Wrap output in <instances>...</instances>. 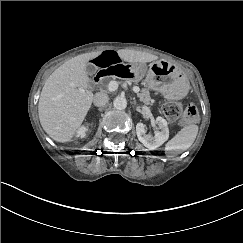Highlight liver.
<instances>
[{"label": "liver", "mask_w": 243, "mask_h": 243, "mask_svg": "<svg viewBox=\"0 0 243 243\" xmlns=\"http://www.w3.org/2000/svg\"><path fill=\"white\" fill-rule=\"evenodd\" d=\"M103 51L75 56L59 66L46 80L38 103V114L43 130L59 143H70L79 134L91 108L94 94L84 90L87 85V64ZM121 61L137 64L158 60V56L132 49H119Z\"/></svg>", "instance_id": "6515ba94"}]
</instances>
